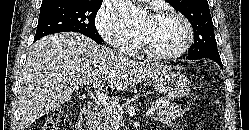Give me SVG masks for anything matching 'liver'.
Returning <instances> with one entry per match:
<instances>
[{
  "mask_svg": "<svg viewBox=\"0 0 249 130\" xmlns=\"http://www.w3.org/2000/svg\"><path fill=\"white\" fill-rule=\"evenodd\" d=\"M168 67L130 60L80 33L44 37L30 48L22 70L19 112L22 130L71 98L74 89L104 78L124 91Z\"/></svg>",
  "mask_w": 249,
  "mask_h": 130,
  "instance_id": "1",
  "label": "liver"
}]
</instances>
